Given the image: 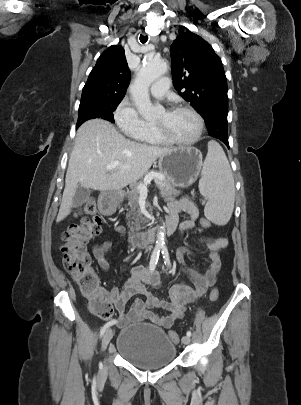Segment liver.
Wrapping results in <instances>:
<instances>
[{"mask_svg": "<svg viewBox=\"0 0 301 405\" xmlns=\"http://www.w3.org/2000/svg\"><path fill=\"white\" fill-rule=\"evenodd\" d=\"M169 150L126 139L106 120L86 121L77 130L70 154L57 222L70 214L79 185L99 191L120 190L141 179ZM116 160L120 165L109 173L107 165Z\"/></svg>", "mask_w": 301, "mask_h": 405, "instance_id": "obj_1", "label": "liver"}]
</instances>
